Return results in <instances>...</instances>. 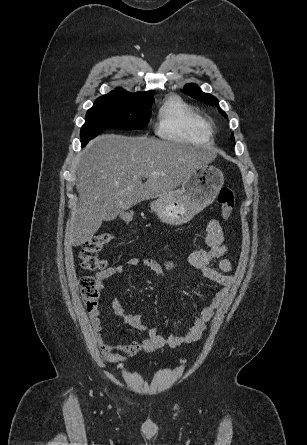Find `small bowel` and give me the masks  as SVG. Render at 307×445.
Listing matches in <instances>:
<instances>
[{"label":"small bowel","mask_w":307,"mask_h":445,"mask_svg":"<svg viewBox=\"0 0 307 445\" xmlns=\"http://www.w3.org/2000/svg\"><path fill=\"white\" fill-rule=\"evenodd\" d=\"M228 251L229 244L225 239V233L220 222L216 219H211L206 228L204 248L192 252L188 257V261L207 280L219 285L220 288L214 291L209 303L201 310L199 316L193 321L191 328L183 335L163 336L157 328L149 327L140 314L126 313L119 300L115 298L111 301L114 313L121 317L129 326L145 331L147 337L142 342L133 341L128 344L112 345L105 340L101 333L99 311L97 309L90 311V322L103 357L108 361L121 363L141 350L152 352L162 347L175 348L199 340L205 330L206 323L212 318L214 311L221 305L232 282V277L227 274L233 271L232 262L225 257ZM126 265L134 268L140 266L147 267L157 277H160L163 271H175L177 269L176 265L171 261H159L149 257H131L126 261ZM124 272V265H115L101 270L94 278L100 290H102L107 280L123 275Z\"/></svg>","instance_id":"small-bowel-1"}]
</instances>
